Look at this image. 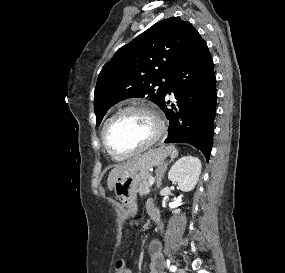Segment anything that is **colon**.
Listing matches in <instances>:
<instances>
[{
    "label": "colon",
    "mask_w": 285,
    "mask_h": 273,
    "mask_svg": "<svg viewBox=\"0 0 285 273\" xmlns=\"http://www.w3.org/2000/svg\"><path fill=\"white\" fill-rule=\"evenodd\" d=\"M128 267L126 266L123 260H119L116 264V271L115 273H128Z\"/></svg>",
    "instance_id": "obj_1"
}]
</instances>
